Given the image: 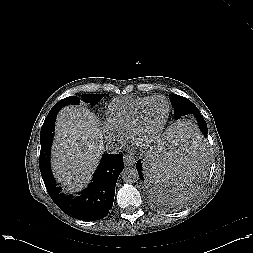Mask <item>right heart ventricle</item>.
<instances>
[{"label":"right heart ventricle","mask_w":253,"mask_h":253,"mask_svg":"<svg viewBox=\"0 0 253 253\" xmlns=\"http://www.w3.org/2000/svg\"><path fill=\"white\" fill-rule=\"evenodd\" d=\"M151 96H125L113 100L107 109V124L119 135H128L139 107Z\"/></svg>","instance_id":"1"}]
</instances>
